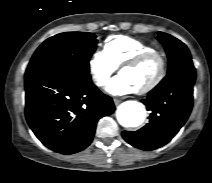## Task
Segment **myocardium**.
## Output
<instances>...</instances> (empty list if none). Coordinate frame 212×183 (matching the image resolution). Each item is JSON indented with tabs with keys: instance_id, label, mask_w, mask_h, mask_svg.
Masks as SVG:
<instances>
[{
	"instance_id": "1",
	"label": "myocardium",
	"mask_w": 212,
	"mask_h": 183,
	"mask_svg": "<svg viewBox=\"0 0 212 183\" xmlns=\"http://www.w3.org/2000/svg\"><path fill=\"white\" fill-rule=\"evenodd\" d=\"M151 58H157L159 60L160 62L159 73L150 84L137 90V93L141 95L147 94L153 91L164 79L166 71H167V60L165 55L161 53L160 51L151 50V51L143 52L133 57L132 59L126 61L120 66L119 72L121 73L125 69H130V68H134L141 65L142 63H144L145 61Z\"/></svg>"
}]
</instances>
